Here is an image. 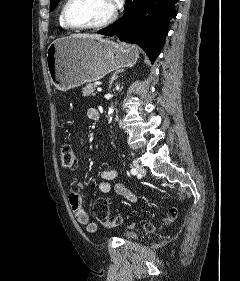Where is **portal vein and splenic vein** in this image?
Returning a JSON list of instances; mask_svg holds the SVG:
<instances>
[{
    "mask_svg": "<svg viewBox=\"0 0 240 281\" xmlns=\"http://www.w3.org/2000/svg\"><path fill=\"white\" fill-rule=\"evenodd\" d=\"M97 91H98V92H101V91H102V88L98 87V88H97Z\"/></svg>",
    "mask_w": 240,
    "mask_h": 281,
    "instance_id": "portal-vein-and-splenic-vein-1",
    "label": "portal vein and splenic vein"
}]
</instances>
